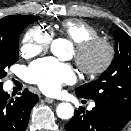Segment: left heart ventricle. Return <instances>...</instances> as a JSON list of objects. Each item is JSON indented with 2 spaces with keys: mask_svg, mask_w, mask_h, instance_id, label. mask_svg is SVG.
<instances>
[{
  "mask_svg": "<svg viewBox=\"0 0 131 131\" xmlns=\"http://www.w3.org/2000/svg\"><path fill=\"white\" fill-rule=\"evenodd\" d=\"M104 57V50L101 47L94 48L87 57V63L90 66H97Z\"/></svg>",
  "mask_w": 131,
  "mask_h": 131,
  "instance_id": "left-heart-ventricle-1",
  "label": "left heart ventricle"
}]
</instances>
